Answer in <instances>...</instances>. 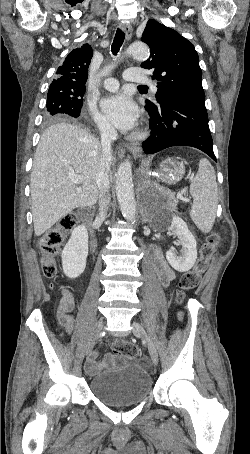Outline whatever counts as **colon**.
<instances>
[{"label":"colon","instance_id":"obj_1","mask_svg":"<svg viewBox=\"0 0 250 454\" xmlns=\"http://www.w3.org/2000/svg\"><path fill=\"white\" fill-rule=\"evenodd\" d=\"M77 219L74 214L64 216L54 227L49 229L39 240L38 248L42 257V271L46 277H54L58 272L57 257L61 252L66 234L74 228ZM221 244L220 236L211 234L202 244L194 266L180 278L177 301L182 303L186 292L193 290L201 276L207 270L210 260ZM181 316V315H180ZM113 352L127 358L137 356V348L128 342L117 341L113 344Z\"/></svg>","mask_w":250,"mask_h":454}]
</instances>
